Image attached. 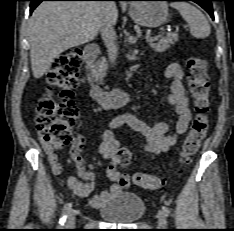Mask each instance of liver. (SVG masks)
<instances>
[{
  "label": "liver",
  "mask_w": 234,
  "mask_h": 231,
  "mask_svg": "<svg viewBox=\"0 0 234 231\" xmlns=\"http://www.w3.org/2000/svg\"><path fill=\"white\" fill-rule=\"evenodd\" d=\"M103 15L112 25L116 24L118 11L114 2H42L29 20L33 76L41 78L61 53L94 40Z\"/></svg>",
  "instance_id": "6515ba94"
}]
</instances>
